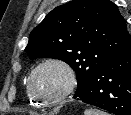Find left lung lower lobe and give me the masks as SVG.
<instances>
[{
	"label": "left lung lower lobe",
	"mask_w": 131,
	"mask_h": 115,
	"mask_svg": "<svg viewBox=\"0 0 131 115\" xmlns=\"http://www.w3.org/2000/svg\"><path fill=\"white\" fill-rule=\"evenodd\" d=\"M76 97L114 115H131V38Z\"/></svg>",
	"instance_id": "0a47b994"
}]
</instances>
